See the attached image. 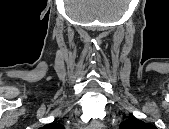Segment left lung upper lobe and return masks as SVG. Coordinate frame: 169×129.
I'll list each match as a JSON object with an SVG mask.
<instances>
[{
	"label": "left lung upper lobe",
	"instance_id": "obj_1",
	"mask_svg": "<svg viewBox=\"0 0 169 129\" xmlns=\"http://www.w3.org/2000/svg\"><path fill=\"white\" fill-rule=\"evenodd\" d=\"M120 129H156V127L150 123H145L135 117H130L126 121L121 122Z\"/></svg>",
	"mask_w": 169,
	"mask_h": 129
}]
</instances>
